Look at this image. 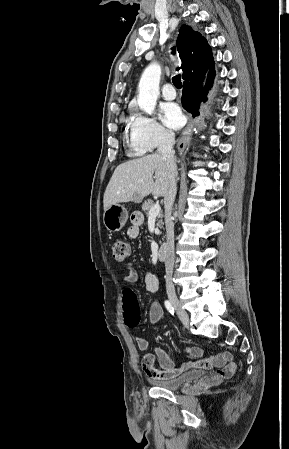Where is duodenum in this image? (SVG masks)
Listing matches in <instances>:
<instances>
[{
  "label": "duodenum",
  "mask_w": 289,
  "mask_h": 449,
  "mask_svg": "<svg viewBox=\"0 0 289 449\" xmlns=\"http://www.w3.org/2000/svg\"><path fill=\"white\" fill-rule=\"evenodd\" d=\"M168 245L163 242L159 245L157 249V255L160 260H165L167 258Z\"/></svg>",
  "instance_id": "410a0bca"
}]
</instances>
